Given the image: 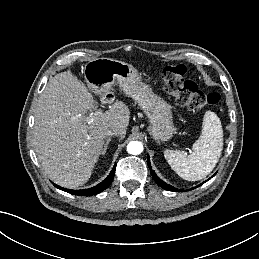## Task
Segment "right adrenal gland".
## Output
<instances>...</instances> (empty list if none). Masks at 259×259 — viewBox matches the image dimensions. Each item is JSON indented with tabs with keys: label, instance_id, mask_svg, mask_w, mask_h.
<instances>
[{
	"label": "right adrenal gland",
	"instance_id": "right-adrenal-gland-1",
	"mask_svg": "<svg viewBox=\"0 0 259 259\" xmlns=\"http://www.w3.org/2000/svg\"><path fill=\"white\" fill-rule=\"evenodd\" d=\"M110 141H111V138H108L107 141H106V143H105V147H104V149H103V151H102V155H104V154L106 153Z\"/></svg>",
	"mask_w": 259,
	"mask_h": 259
}]
</instances>
